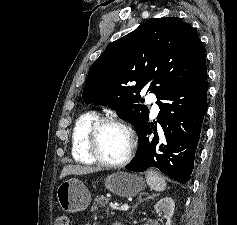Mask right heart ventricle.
I'll list each match as a JSON object with an SVG mask.
<instances>
[{
	"instance_id": "1",
	"label": "right heart ventricle",
	"mask_w": 237,
	"mask_h": 225,
	"mask_svg": "<svg viewBox=\"0 0 237 225\" xmlns=\"http://www.w3.org/2000/svg\"><path fill=\"white\" fill-rule=\"evenodd\" d=\"M99 119L96 111H86L81 114L75 121L72 130V147L73 158L80 163L93 164L94 158L90 155L87 147V135L93 123Z\"/></svg>"
}]
</instances>
